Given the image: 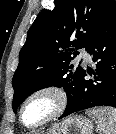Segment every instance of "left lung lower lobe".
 <instances>
[{
	"instance_id": "left-lung-lower-lobe-1",
	"label": "left lung lower lobe",
	"mask_w": 116,
	"mask_h": 134,
	"mask_svg": "<svg viewBox=\"0 0 116 134\" xmlns=\"http://www.w3.org/2000/svg\"><path fill=\"white\" fill-rule=\"evenodd\" d=\"M86 51L93 55L97 69L82 71L76 94L68 101L60 119L96 106L116 108V4L107 14ZM87 74L92 79L86 80Z\"/></svg>"
}]
</instances>
